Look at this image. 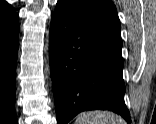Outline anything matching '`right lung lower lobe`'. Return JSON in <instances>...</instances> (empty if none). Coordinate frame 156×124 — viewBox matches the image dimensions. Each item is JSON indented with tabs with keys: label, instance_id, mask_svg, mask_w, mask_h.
<instances>
[{
	"label": "right lung lower lobe",
	"instance_id": "obj_1",
	"mask_svg": "<svg viewBox=\"0 0 156 124\" xmlns=\"http://www.w3.org/2000/svg\"><path fill=\"white\" fill-rule=\"evenodd\" d=\"M19 26L0 29V124H17L15 104Z\"/></svg>",
	"mask_w": 156,
	"mask_h": 124
}]
</instances>
